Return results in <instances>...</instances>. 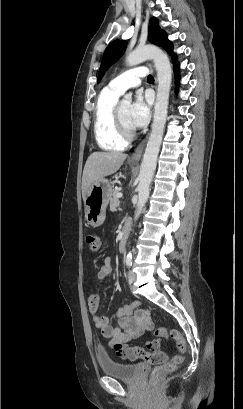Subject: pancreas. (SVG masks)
<instances>
[{
  "label": "pancreas",
  "instance_id": "cf45deb5",
  "mask_svg": "<svg viewBox=\"0 0 243 409\" xmlns=\"http://www.w3.org/2000/svg\"><path fill=\"white\" fill-rule=\"evenodd\" d=\"M118 193H119L118 191H113L112 193V197L110 201V211L112 212L116 211L120 204L119 199L117 197Z\"/></svg>",
  "mask_w": 243,
  "mask_h": 409
}]
</instances>
